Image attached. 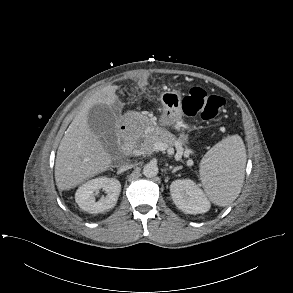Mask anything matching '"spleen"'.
<instances>
[{"mask_svg":"<svg viewBox=\"0 0 293 293\" xmlns=\"http://www.w3.org/2000/svg\"><path fill=\"white\" fill-rule=\"evenodd\" d=\"M246 149L239 135L229 136L214 145L200 163V180L211 199L227 206L239 195L245 174Z\"/></svg>","mask_w":293,"mask_h":293,"instance_id":"spleen-1","label":"spleen"}]
</instances>
